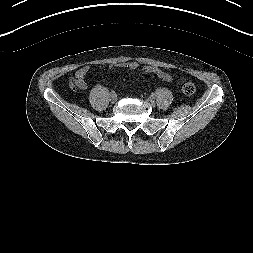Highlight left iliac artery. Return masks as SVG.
Listing matches in <instances>:
<instances>
[{
	"instance_id": "1",
	"label": "left iliac artery",
	"mask_w": 253,
	"mask_h": 253,
	"mask_svg": "<svg viewBox=\"0 0 253 253\" xmlns=\"http://www.w3.org/2000/svg\"><path fill=\"white\" fill-rule=\"evenodd\" d=\"M151 98H152V99H155V98H156V95L152 93V94H151Z\"/></svg>"
}]
</instances>
